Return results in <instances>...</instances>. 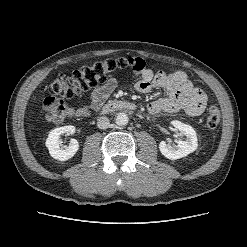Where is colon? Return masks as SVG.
<instances>
[{"mask_svg":"<svg viewBox=\"0 0 247 247\" xmlns=\"http://www.w3.org/2000/svg\"><path fill=\"white\" fill-rule=\"evenodd\" d=\"M132 65L131 58L122 57L95 62L75 70L71 75L60 74L50 86V95L43 100L45 118L58 123L71 117L74 111L63 98L71 99L104 84L115 72ZM205 121L209 128H216L221 121L220 110L211 106L207 110Z\"/></svg>","mask_w":247,"mask_h":247,"instance_id":"1","label":"colon"}]
</instances>
